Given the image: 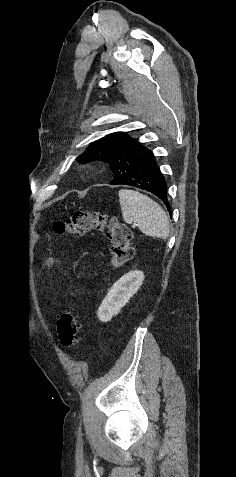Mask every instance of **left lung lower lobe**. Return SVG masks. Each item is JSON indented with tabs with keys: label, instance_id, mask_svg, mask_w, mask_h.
Segmentation results:
<instances>
[{
	"label": "left lung lower lobe",
	"instance_id": "0a47b994",
	"mask_svg": "<svg viewBox=\"0 0 236 477\" xmlns=\"http://www.w3.org/2000/svg\"><path fill=\"white\" fill-rule=\"evenodd\" d=\"M120 184L134 186L154 194L164 202L171 215L170 203L167 199V184L152 151L147 149L137 158L130 174Z\"/></svg>",
	"mask_w": 236,
	"mask_h": 477
}]
</instances>
